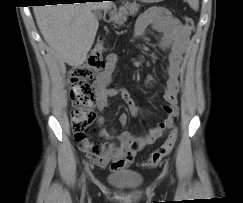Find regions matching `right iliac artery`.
Masks as SVG:
<instances>
[{"label":"right iliac artery","mask_w":243,"mask_h":203,"mask_svg":"<svg viewBox=\"0 0 243 203\" xmlns=\"http://www.w3.org/2000/svg\"><path fill=\"white\" fill-rule=\"evenodd\" d=\"M82 182H83V183L85 182V178H84V176L82 177Z\"/></svg>","instance_id":"obj_1"}]
</instances>
